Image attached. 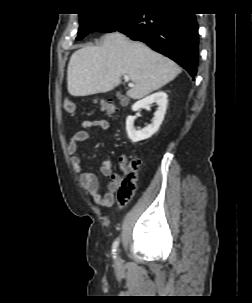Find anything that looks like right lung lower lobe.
Instances as JSON below:
<instances>
[{"mask_svg": "<svg viewBox=\"0 0 252 303\" xmlns=\"http://www.w3.org/2000/svg\"><path fill=\"white\" fill-rule=\"evenodd\" d=\"M119 31L142 41L180 64L195 78L199 56L198 24L194 14L180 9L130 10L99 32Z\"/></svg>", "mask_w": 252, "mask_h": 303, "instance_id": "98d812e1", "label": "right lung lower lobe"}]
</instances>
